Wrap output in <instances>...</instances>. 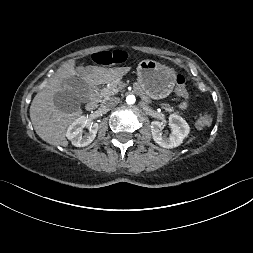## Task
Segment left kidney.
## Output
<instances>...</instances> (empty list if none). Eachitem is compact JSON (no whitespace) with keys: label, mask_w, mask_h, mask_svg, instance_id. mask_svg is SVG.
Instances as JSON below:
<instances>
[{"label":"left kidney","mask_w":253,"mask_h":253,"mask_svg":"<svg viewBox=\"0 0 253 253\" xmlns=\"http://www.w3.org/2000/svg\"><path fill=\"white\" fill-rule=\"evenodd\" d=\"M169 125L171 134L169 137L162 134L163 123L159 121L151 122V132L153 140L163 148H175L183 143L185 137L190 132L188 123L179 115L171 114L169 116Z\"/></svg>","instance_id":"5707ae66"}]
</instances>
